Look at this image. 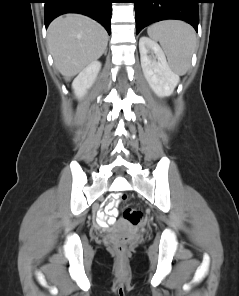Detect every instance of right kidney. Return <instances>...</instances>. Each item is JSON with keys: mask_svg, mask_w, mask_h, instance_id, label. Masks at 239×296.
I'll list each match as a JSON object with an SVG mask.
<instances>
[{"mask_svg": "<svg viewBox=\"0 0 239 296\" xmlns=\"http://www.w3.org/2000/svg\"><path fill=\"white\" fill-rule=\"evenodd\" d=\"M101 70V63L94 61L87 65L73 80L72 89L77 98H82L95 82Z\"/></svg>", "mask_w": 239, "mask_h": 296, "instance_id": "right-kidney-1", "label": "right kidney"}]
</instances>
